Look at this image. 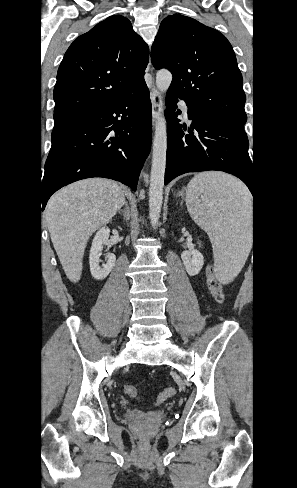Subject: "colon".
<instances>
[{"label": "colon", "mask_w": 297, "mask_h": 488, "mask_svg": "<svg viewBox=\"0 0 297 488\" xmlns=\"http://www.w3.org/2000/svg\"><path fill=\"white\" fill-rule=\"evenodd\" d=\"M206 281L208 289L213 296V298L218 302L222 303L225 299L224 290L222 284L214 275V269L212 265H209L206 269ZM124 392L131 398H138V392L134 385L126 384L124 385ZM176 393L174 388H166L156 398V405L162 404L167 399L174 396Z\"/></svg>", "instance_id": "1"}]
</instances>
